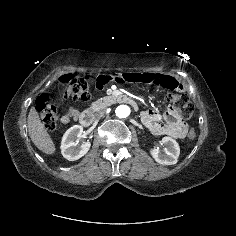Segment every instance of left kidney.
<instances>
[{
    "instance_id": "obj_1",
    "label": "left kidney",
    "mask_w": 236,
    "mask_h": 236,
    "mask_svg": "<svg viewBox=\"0 0 236 236\" xmlns=\"http://www.w3.org/2000/svg\"><path fill=\"white\" fill-rule=\"evenodd\" d=\"M162 143L165 146L163 152H161L158 147L153 148L150 151L154 160L162 165H172L177 163L180 154L178 143L171 137H163Z\"/></svg>"
}]
</instances>
